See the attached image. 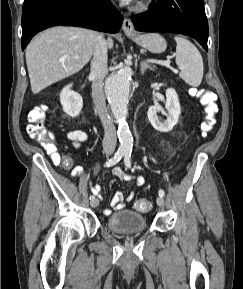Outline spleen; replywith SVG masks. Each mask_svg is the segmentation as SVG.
I'll list each match as a JSON object with an SVG mask.
<instances>
[{
  "label": "spleen",
  "mask_w": 243,
  "mask_h": 289,
  "mask_svg": "<svg viewBox=\"0 0 243 289\" xmlns=\"http://www.w3.org/2000/svg\"><path fill=\"white\" fill-rule=\"evenodd\" d=\"M176 64L180 67V77L187 84L198 87L203 78V60L198 49L182 36H175Z\"/></svg>",
  "instance_id": "obj_1"
}]
</instances>
